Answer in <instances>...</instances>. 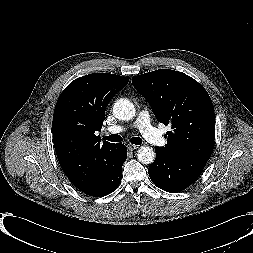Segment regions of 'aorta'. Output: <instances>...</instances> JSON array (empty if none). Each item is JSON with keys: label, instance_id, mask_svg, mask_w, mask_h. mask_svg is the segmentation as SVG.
Returning <instances> with one entry per match:
<instances>
[{"label": "aorta", "instance_id": "762f6f07", "mask_svg": "<svg viewBox=\"0 0 253 253\" xmlns=\"http://www.w3.org/2000/svg\"><path fill=\"white\" fill-rule=\"evenodd\" d=\"M136 110L132 102L121 98L113 106L114 116L122 121H129L135 116ZM138 160L143 164H151L155 160V151L149 146H142L137 152Z\"/></svg>", "mask_w": 253, "mask_h": 253}]
</instances>
